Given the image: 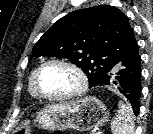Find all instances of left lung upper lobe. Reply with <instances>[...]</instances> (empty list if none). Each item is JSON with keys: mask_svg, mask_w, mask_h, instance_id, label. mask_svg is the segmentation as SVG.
Returning a JSON list of instances; mask_svg holds the SVG:
<instances>
[{"mask_svg": "<svg viewBox=\"0 0 153 134\" xmlns=\"http://www.w3.org/2000/svg\"><path fill=\"white\" fill-rule=\"evenodd\" d=\"M138 50L128 18L116 7L99 5L73 11L55 22L33 48V55L64 57L80 67L90 87Z\"/></svg>", "mask_w": 153, "mask_h": 134, "instance_id": "left-lung-upper-lobe-1", "label": "left lung upper lobe"}]
</instances>
